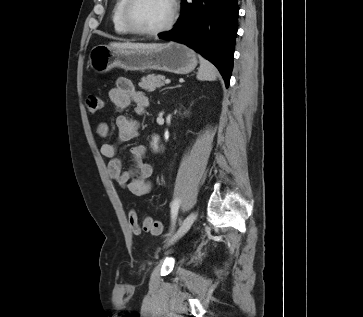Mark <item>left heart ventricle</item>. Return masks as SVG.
I'll list each match as a JSON object with an SVG mask.
<instances>
[{
  "mask_svg": "<svg viewBox=\"0 0 363 317\" xmlns=\"http://www.w3.org/2000/svg\"><path fill=\"white\" fill-rule=\"evenodd\" d=\"M169 0H137L132 9L133 22L141 29L154 30L169 18Z\"/></svg>",
  "mask_w": 363,
  "mask_h": 317,
  "instance_id": "1",
  "label": "left heart ventricle"
}]
</instances>
